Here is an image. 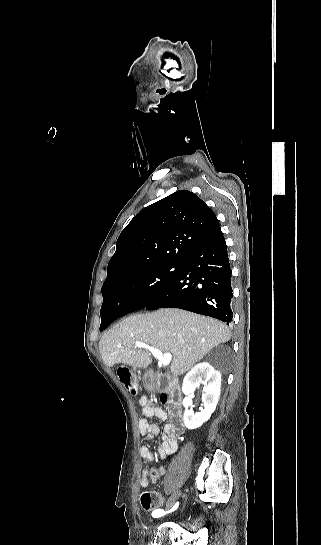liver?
<instances>
[{
  "label": "liver",
  "mask_w": 321,
  "mask_h": 545,
  "mask_svg": "<svg viewBox=\"0 0 321 545\" xmlns=\"http://www.w3.org/2000/svg\"><path fill=\"white\" fill-rule=\"evenodd\" d=\"M231 331L227 325L181 309H159L145 315H131L105 333L99 351L107 367L116 363L147 369L152 363L146 349H135L136 341L171 353V373L184 375L201 361L213 347L227 343Z\"/></svg>",
  "instance_id": "liver-1"
}]
</instances>
